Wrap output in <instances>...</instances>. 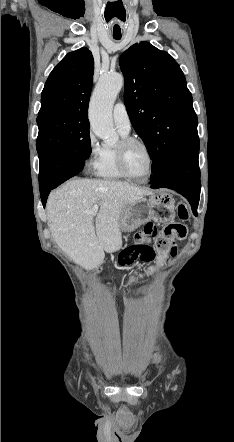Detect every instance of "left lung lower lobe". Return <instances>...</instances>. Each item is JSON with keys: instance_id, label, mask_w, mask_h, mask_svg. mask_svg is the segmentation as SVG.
I'll return each instance as SVG.
<instances>
[{"instance_id": "1", "label": "left lung lower lobe", "mask_w": 234, "mask_h": 442, "mask_svg": "<svg viewBox=\"0 0 234 442\" xmlns=\"http://www.w3.org/2000/svg\"><path fill=\"white\" fill-rule=\"evenodd\" d=\"M199 138L192 137L175 154L159 177L151 179L152 188H170L182 194L196 212L200 198Z\"/></svg>"}]
</instances>
